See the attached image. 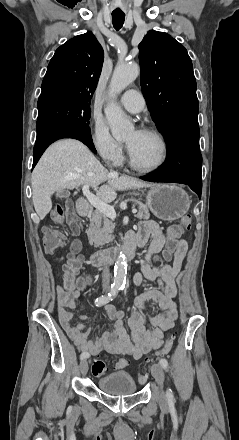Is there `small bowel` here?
I'll use <instances>...</instances> for the list:
<instances>
[{
    "label": "small bowel",
    "mask_w": 239,
    "mask_h": 440,
    "mask_svg": "<svg viewBox=\"0 0 239 440\" xmlns=\"http://www.w3.org/2000/svg\"><path fill=\"white\" fill-rule=\"evenodd\" d=\"M74 232L78 231L74 230ZM148 241L145 260L142 263L141 272L134 277V283L141 286L143 278H146L157 283L159 289L144 291L135 298V308L127 322L129 333L124 328L123 313L108 306L106 314L112 322L111 329L95 340H90V329L82 322L73 323L74 314L70 311L75 308L80 298L83 281L77 282L64 273L62 282L57 285L58 315L61 325L75 345L82 352H87L89 356L108 351L140 359L150 351L159 349L163 344L164 332L174 326L178 317L175 303L177 296L175 280L183 268L188 244L186 240L181 239L172 252L165 251L164 257L167 260H173L172 265L152 266L149 262L151 255L162 251L167 241L162 229L155 222L147 220L140 222L137 231L130 232L127 236V242L137 244L140 248H143ZM149 302L155 303L160 309L157 315H143L144 307ZM80 319L85 321L87 317L81 315ZM147 323L150 328L146 327ZM120 360L126 359L120 358L118 361ZM117 363L116 369H122L117 366Z\"/></svg>",
    "instance_id": "c3829d8e"
}]
</instances>
